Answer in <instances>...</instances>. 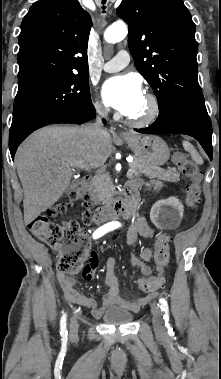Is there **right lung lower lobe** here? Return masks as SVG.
<instances>
[{
    "mask_svg": "<svg viewBox=\"0 0 221 379\" xmlns=\"http://www.w3.org/2000/svg\"><path fill=\"white\" fill-rule=\"evenodd\" d=\"M95 117V109L92 104H89L86 107H83L81 110L71 112L69 114L63 115L61 117L52 119L43 125H41L39 128L44 127L49 124H56V123H71V124H82L84 122H87ZM38 129V128H37ZM20 139L15 143H9L10 153L12 159H14V154L17 150V147L19 144L24 140Z\"/></svg>",
    "mask_w": 221,
    "mask_h": 379,
    "instance_id": "98d812e1",
    "label": "right lung lower lobe"
}]
</instances>
